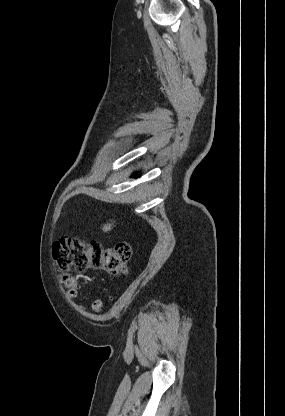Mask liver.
I'll return each instance as SVG.
<instances>
[{
	"instance_id": "liver-1",
	"label": "liver",
	"mask_w": 285,
	"mask_h": 416,
	"mask_svg": "<svg viewBox=\"0 0 285 416\" xmlns=\"http://www.w3.org/2000/svg\"><path fill=\"white\" fill-rule=\"evenodd\" d=\"M111 226L112 224H105L102 228L103 232H109V230H112Z\"/></svg>"
}]
</instances>
